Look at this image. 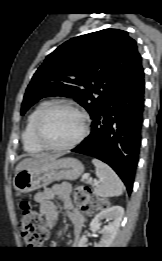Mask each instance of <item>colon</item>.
<instances>
[{
  "mask_svg": "<svg viewBox=\"0 0 162 261\" xmlns=\"http://www.w3.org/2000/svg\"><path fill=\"white\" fill-rule=\"evenodd\" d=\"M74 203L86 214L95 213L106 206V200L92 194L86 186H78L73 193ZM22 215L19 221L21 236L29 247L41 246L47 234L40 215L31 207L28 201L20 203Z\"/></svg>",
  "mask_w": 162,
  "mask_h": 261,
  "instance_id": "1",
  "label": "colon"
}]
</instances>
